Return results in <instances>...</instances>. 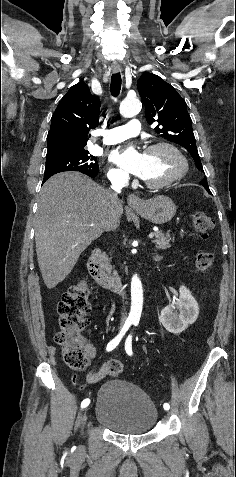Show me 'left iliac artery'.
<instances>
[{
    "label": "left iliac artery",
    "instance_id": "44dca946",
    "mask_svg": "<svg viewBox=\"0 0 236 477\" xmlns=\"http://www.w3.org/2000/svg\"><path fill=\"white\" fill-rule=\"evenodd\" d=\"M138 322H134V325L136 326ZM125 350L126 353L131 356L132 355V336L129 335L125 341ZM163 408L170 409V405L168 403H164Z\"/></svg>",
    "mask_w": 236,
    "mask_h": 477
}]
</instances>
